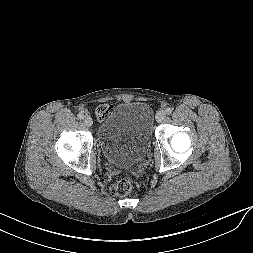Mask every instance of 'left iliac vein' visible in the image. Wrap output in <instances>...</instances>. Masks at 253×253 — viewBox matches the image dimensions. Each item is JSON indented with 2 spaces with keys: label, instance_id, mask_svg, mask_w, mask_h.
I'll list each match as a JSON object with an SVG mask.
<instances>
[{
  "label": "left iliac vein",
  "instance_id": "left-iliac-vein-1",
  "mask_svg": "<svg viewBox=\"0 0 253 253\" xmlns=\"http://www.w3.org/2000/svg\"><path fill=\"white\" fill-rule=\"evenodd\" d=\"M165 118H166V112L164 110H161L156 114V121L158 123L162 122Z\"/></svg>",
  "mask_w": 253,
  "mask_h": 253
}]
</instances>
